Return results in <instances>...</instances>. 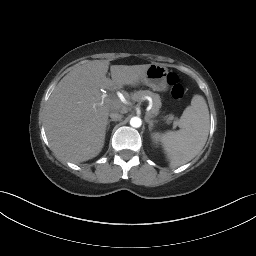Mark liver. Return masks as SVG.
Masks as SVG:
<instances>
[{"label":"liver","instance_id":"1","mask_svg":"<svg viewBox=\"0 0 256 256\" xmlns=\"http://www.w3.org/2000/svg\"><path fill=\"white\" fill-rule=\"evenodd\" d=\"M150 64L112 65L109 61L81 65L57 84L46 106L44 126L50 147L59 160L80 163L96 157L105 142L110 107L101 89L137 83Z\"/></svg>","mask_w":256,"mask_h":256}]
</instances>
